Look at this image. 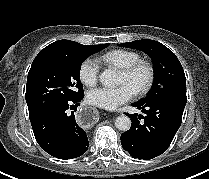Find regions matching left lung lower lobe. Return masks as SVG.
<instances>
[{"mask_svg": "<svg viewBox=\"0 0 209 179\" xmlns=\"http://www.w3.org/2000/svg\"><path fill=\"white\" fill-rule=\"evenodd\" d=\"M185 105L186 95H173L148 103H132L146 116L130 115L132 126L121 135L123 149L138 159L149 160L161 155L181 125Z\"/></svg>", "mask_w": 209, "mask_h": 179, "instance_id": "left-lung-lower-lobe-1", "label": "left lung lower lobe"}]
</instances>
